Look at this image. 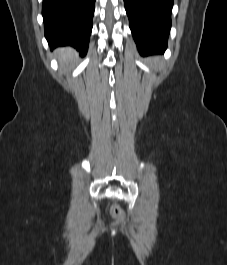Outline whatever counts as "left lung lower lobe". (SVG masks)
<instances>
[{
    "label": "left lung lower lobe",
    "mask_w": 227,
    "mask_h": 265,
    "mask_svg": "<svg viewBox=\"0 0 227 265\" xmlns=\"http://www.w3.org/2000/svg\"><path fill=\"white\" fill-rule=\"evenodd\" d=\"M129 25L142 55L167 48L173 0H124Z\"/></svg>",
    "instance_id": "0a47b994"
}]
</instances>
